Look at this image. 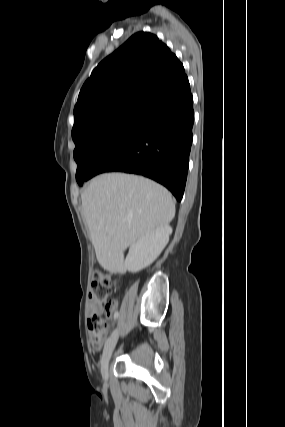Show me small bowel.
<instances>
[{
    "label": "small bowel",
    "mask_w": 285,
    "mask_h": 427,
    "mask_svg": "<svg viewBox=\"0 0 285 427\" xmlns=\"http://www.w3.org/2000/svg\"><path fill=\"white\" fill-rule=\"evenodd\" d=\"M118 308V301L113 300L107 306L108 315H112ZM104 311V307L101 303L90 300L88 302V313L92 315H100Z\"/></svg>",
    "instance_id": "1"
}]
</instances>
